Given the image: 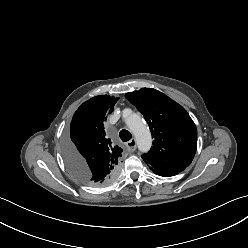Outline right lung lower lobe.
Wrapping results in <instances>:
<instances>
[{
    "instance_id": "98d812e1",
    "label": "right lung lower lobe",
    "mask_w": 248,
    "mask_h": 248,
    "mask_svg": "<svg viewBox=\"0 0 248 248\" xmlns=\"http://www.w3.org/2000/svg\"><path fill=\"white\" fill-rule=\"evenodd\" d=\"M66 164H67V166L69 167V169H70L73 173L78 174V175L80 176V180H81L82 182L87 183V184H91L90 180L85 179V176H84L82 173H80V172H78V171L76 170V166H75L74 162H66ZM114 176H115V173H113L112 177H114ZM112 177L108 176V177H106V178H104V179L98 178V180H100V181L102 180V181H104V182H107V181L109 180V178H112ZM94 179H97V178H94Z\"/></svg>"
}]
</instances>
